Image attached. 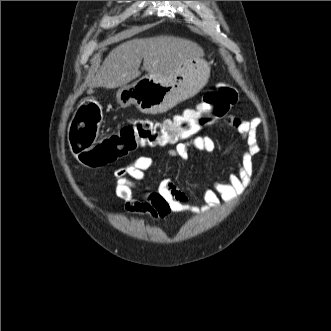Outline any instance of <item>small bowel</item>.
<instances>
[{"instance_id":"obj_1","label":"small bowel","mask_w":331,"mask_h":331,"mask_svg":"<svg viewBox=\"0 0 331 331\" xmlns=\"http://www.w3.org/2000/svg\"><path fill=\"white\" fill-rule=\"evenodd\" d=\"M226 123L235 128L245 141L246 148L234 157L237 172L227 174L226 180H212L210 187L200 192L202 206L188 203L187 195L171 180L164 179L158 185L149 188L143 198L135 197V181L142 180L145 172L153 166V160L139 156L127 166L114 171L115 193L124 202L129 215H146L153 220L165 219L172 213L201 214L219 206L221 201L234 200L250 183L253 174V156L259 151L257 130L261 124L259 118L244 120L231 115ZM195 148L205 153L216 149L214 140L209 136H198L191 141L180 142L168 155L187 160L190 149Z\"/></svg>"}]
</instances>
